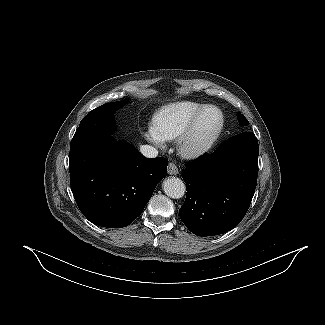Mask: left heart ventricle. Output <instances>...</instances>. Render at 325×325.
<instances>
[{"label":"left heart ventricle","instance_id":"obj_1","mask_svg":"<svg viewBox=\"0 0 325 325\" xmlns=\"http://www.w3.org/2000/svg\"><path fill=\"white\" fill-rule=\"evenodd\" d=\"M219 114L215 110H208L202 117L198 131L196 134V138L199 141L205 140L216 128L219 123Z\"/></svg>","mask_w":325,"mask_h":325}]
</instances>
